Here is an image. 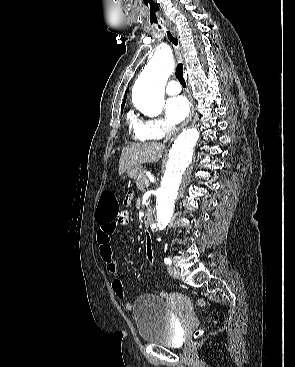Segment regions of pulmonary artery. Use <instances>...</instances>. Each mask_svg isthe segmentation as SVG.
<instances>
[{
  "instance_id": "e3ab8cb5",
  "label": "pulmonary artery",
  "mask_w": 295,
  "mask_h": 367,
  "mask_svg": "<svg viewBox=\"0 0 295 367\" xmlns=\"http://www.w3.org/2000/svg\"><path fill=\"white\" fill-rule=\"evenodd\" d=\"M181 92V86L176 80H171L166 86V93L169 95H176Z\"/></svg>"
}]
</instances>
